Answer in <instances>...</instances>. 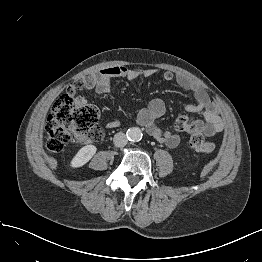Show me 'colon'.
Segmentation results:
<instances>
[{
	"label": "colon",
	"instance_id": "1",
	"mask_svg": "<svg viewBox=\"0 0 262 262\" xmlns=\"http://www.w3.org/2000/svg\"><path fill=\"white\" fill-rule=\"evenodd\" d=\"M84 80L80 78L75 84L69 85L66 94L56 101L47 117L44 140L51 152L62 151L70 141L84 144L101 136L100 130L96 128L98 109L76 95ZM189 144L193 150L203 155H210L215 150V144L198 132L191 135Z\"/></svg>",
	"mask_w": 262,
	"mask_h": 262
}]
</instances>
